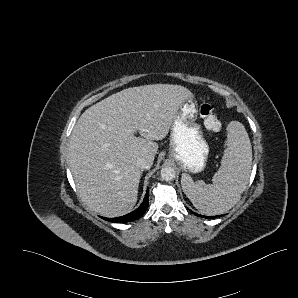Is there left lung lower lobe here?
I'll return each instance as SVG.
<instances>
[{"label":"left lung lower lobe","mask_w":298,"mask_h":298,"mask_svg":"<svg viewBox=\"0 0 298 298\" xmlns=\"http://www.w3.org/2000/svg\"><path fill=\"white\" fill-rule=\"evenodd\" d=\"M195 215L197 216H200V217H205V218H216L217 216H202V215H199V214H196L194 213Z\"/></svg>","instance_id":"1"}]
</instances>
